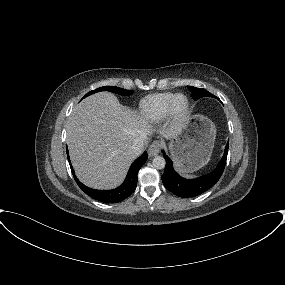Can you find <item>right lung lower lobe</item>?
Here are the masks:
<instances>
[{
	"instance_id": "right-lung-lower-lobe-1",
	"label": "right lung lower lobe",
	"mask_w": 285,
	"mask_h": 285,
	"mask_svg": "<svg viewBox=\"0 0 285 285\" xmlns=\"http://www.w3.org/2000/svg\"><path fill=\"white\" fill-rule=\"evenodd\" d=\"M67 156L69 160L68 150H67ZM146 160H147V153L144 152V154L141 157H139L132 163L123 184L120 185L118 188L112 189V190H96V189H92V188H89L83 185L76 178L74 174V170L71 166V163H70V166H71V170L75 178V181L77 182L78 186L81 188V190L84 193L89 195L91 198L98 200L100 202H103V203H118L126 199L136 189L138 171L144 165Z\"/></svg>"
}]
</instances>
